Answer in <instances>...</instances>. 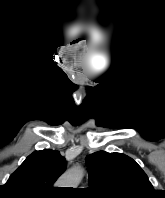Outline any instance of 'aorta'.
I'll return each instance as SVG.
<instances>
[{
    "instance_id": "762f6f07",
    "label": "aorta",
    "mask_w": 165,
    "mask_h": 198,
    "mask_svg": "<svg viewBox=\"0 0 165 198\" xmlns=\"http://www.w3.org/2000/svg\"><path fill=\"white\" fill-rule=\"evenodd\" d=\"M84 175V170L81 167H74L66 172L60 179V187H77Z\"/></svg>"
}]
</instances>
